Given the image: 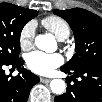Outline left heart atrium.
I'll use <instances>...</instances> for the list:
<instances>
[{
    "label": "left heart atrium",
    "mask_w": 102,
    "mask_h": 102,
    "mask_svg": "<svg viewBox=\"0 0 102 102\" xmlns=\"http://www.w3.org/2000/svg\"><path fill=\"white\" fill-rule=\"evenodd\" d=\"M63 61L60 54H47L41 51H34L27 57L29 69L39 75L52 73L55 68L63 64Z\"/></svg>",
    "instance_id": "obj_1"
}]
</instances>
